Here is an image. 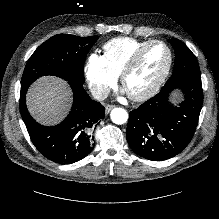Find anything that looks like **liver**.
I'll return each instance as SVG.
<instances>
[{
    "instance_id": "liver-1",
    "label": "liver",
    "mask_w": 219,
    "mask_h": 219,
    "mask_svg": "<svg viewBox=\"0 0 219 219\" xmlns=\"http://www.w3.org/2000/svg\"><path fill=\"white\" fill-rule=\"evenodd\" d=\"M27 106L30 114L44 125L60 122L67 114L71 91L67 83L56 77H41L28 90Z\"/></svg>"
}]
</instances>
